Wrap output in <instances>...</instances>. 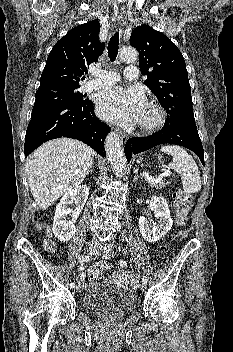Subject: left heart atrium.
I'll return each instance as SVG.
<instances>
[{"label":"left heart atrium","mask_w":233,"mask_h":352,"mask_svg":"<svg viewBox=\"0 0 233 352\" xmlns=\"http://www.w3.org/2000/svg\"><path fill=\"white\" fill-rule=\"evenodd\" d=\"M96 105L103 119L123 126L137 123L146 107L144 95L139 89L119 86L100 92Z\"/></svg>","instance_id":"obj_1"}]
</instances>
